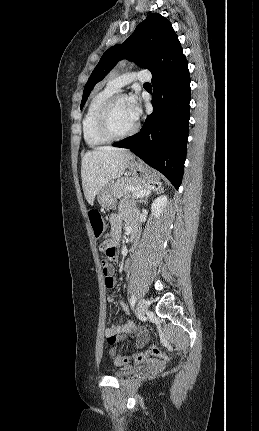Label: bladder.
Masks as SVG:
<instances>
[{
  "mask_svg": "<svg viewBox=\"0 0 259 431\" xmlns=\"http://www.w3.org/2000/svg\"><path fill=\"white\" fill-rule=\"evenodd\" d=\"M137 370L138 368H126L116 371L115 373H113V376L117 379H123L133 375Z\"/></svg>",
  "mask_w": 259,
  "mask_h": 431,
  "instance_id": "obj_1",
  "label": "bladder"
}]
</instances>
